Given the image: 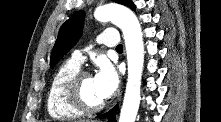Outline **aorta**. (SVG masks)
I'll list each match as a JSON object with an SVG mask.
<instances>
[{"instance_id": "obj_1", "label": "aorta", "mask_w": 221, "mask_h": 122, "mask_svg": "<svg viewBox=\"0 0 221 122\" xmlns=\"http://www.w3.org/2000/svg\"><path fill=\"white\" fill-rule=\"evenodd\" d=\"M94 16L98 21H111L123 32L128 78L119 122H135L141 99L140 87L144 63V45L139 21L130 9L115 3L98 7Z\"/></svg>"}]
</instances>
